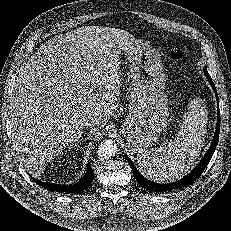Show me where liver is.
<instances>
[{
  "instance_id": "1",
  "label": "liver",
  "mask_w": 231,
  "mask_h": 231,
  "mask_svg": "<svg viewBox=\"0 0 231 231\" xmlns=\"http://www.w3.org/2000/svg\"><path fill=\"white\" fill-rule=\"evenodd\" d=\"M125 30L84 26L48 40L23 66L11 96L12 141L30 170H43L82 135L98 132L119 105Z\"/></svg>"
}]
</instances>
